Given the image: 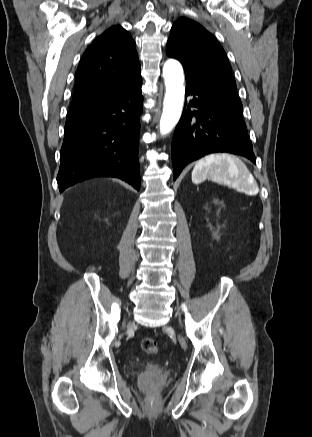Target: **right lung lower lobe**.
<instances>
[{
	"label": "right lung lower lobe",
	"instance_id": "1",
	"mask_svg": "<svg viewBox=\"0 0 312 437\" xmlns=\"http://www.w3.org/2000/svg\"><path fill=\"white\" fill-rule=\"evenodd\" d=\"M141 76L116 95L67 115L59 191L92 177L120 178L140 189Z\"/></svg>",
	"mask_w": 312,
	"mask_h": 437
}]
</instances>
